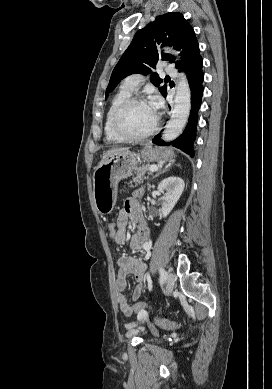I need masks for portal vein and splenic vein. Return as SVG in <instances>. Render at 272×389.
Returning a JSON list of instances; mask_svg holds the SVG:
<instances>
[{
	"mask_svg": "<svg viewBox=\"0 0 272 389\" xmlns=\"http://www.w3.org/2000/svg\"><path fill=\"white\" fill-rule=\"evenodd\" d=\"M151 172H155L158 170V166L157 165H151L150 169H149Z\"/></svg>",
	"mask_w": 272,
	"mask_h": 389,
	"instance_id": "obj_1",
	"label": "portal vein and splenic vein"
}]
</instances>
